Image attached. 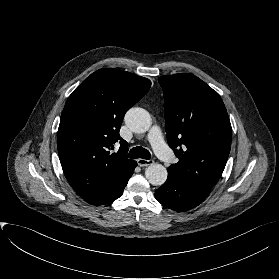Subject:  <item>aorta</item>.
I'll use <instances>...</instances> for the list:
<instances>
[{
  "mask_svg": "<svg viewBox=\"0 0 279 279\" xmlns=\"http://www.w3.org/2000/svg\"><path fill=\"white\" fill-rule=\"evenodd\" d=\"M126 125L135 133H144L149 130L152 119L150 114L142 108H131L125 115ZM167 170L161 164H151L146 168L145 177L154 186H160L167 179Z\"/></svg>",
  "mask_w": 279,
  "mask_h": 279,
  "instance_id": "762f6f07",
  "label": "aorta"
}]
</instances>
